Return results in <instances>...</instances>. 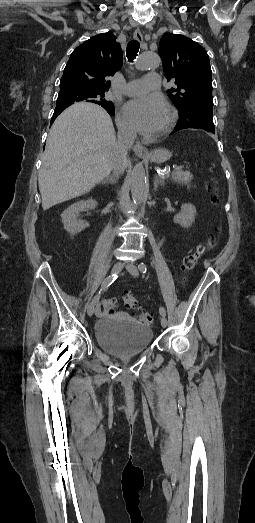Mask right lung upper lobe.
<instances>
[{"label": "right lung upper lobe", "instance_id": "1", "mask_svg": "<svg viewBox=\"0 0 255 523\" xmlns=\"http://www.w3.org/2000/svg\"><path fill=\"white\" fill-rule=\"evenodd\" d=\"M122 61L123 53L113 33L98 34L71 53L60 81V90L80 89L105 93L110 88L107 77L113 76L121 68ZM72 103H57L51 122ZM96 103L110 115H115L112 102L103 100Z\"/></svg>", "mask_w": 255, "mask_h": 523}]
</instances>
